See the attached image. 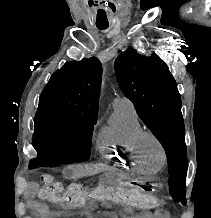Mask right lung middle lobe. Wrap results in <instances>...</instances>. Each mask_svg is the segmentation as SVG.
Returning a JSON list of instances; mask_svg holds the SVG:
<instances>
[{"label":"right lung middle lobe","mask_w":211,"mask_h":218,"mask_svg":"<svg viewBox=\"0 0 211 218\" xmlns=\"http://www.w3.org/2000/svg\"><path fill=\"white\" fill-rule=\"evenodd\" d=\"M97 116L38 110L35 115L34 143H70L81 148L84 159L90 156L93 125Z\"/></svg>","instance_id":"right-lung-middle-lobe-1"}]
</instances>
